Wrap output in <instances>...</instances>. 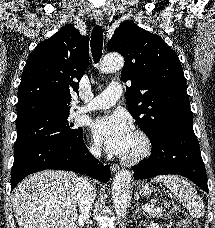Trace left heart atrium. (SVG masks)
<instances>
[{
	"label": "left heart atrium",
	"instance_id": "39dd6f15",
	"mask_svg": "<svg viewBox=\"0 0 215 228\" xmlns=\"http://www.w3.org/2000/svg\"><path fill=\"white\" fill-rule=\"evenodd\" d=\"M94 137L103 142L115 155L122 156L129 150L133 132L126 116L120 112L97 118L92 123Z\"/></svg>",
	"mask_w": 215,
	"mask_h": 228
}]
</instances>
